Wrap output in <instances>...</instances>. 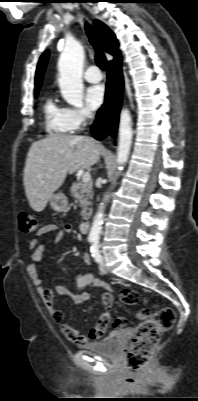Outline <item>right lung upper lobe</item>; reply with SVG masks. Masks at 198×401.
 Listing matches in <instances>:
<instances>
[{"mask_svg": "<svg viewBox=\"0 0 198 401\" xmlns=\"http://www.w3.org/2000/svg\"><path fill=\"white\" fill-rule=\"evenodd\" d=\"M94 27L100 37L102 47L104 48V50L111 55L114 56L117 55L119 53L118 41L114 33L104 23H102L99 20L94 21ZM48 58H49V52L46 51L42 54L38 62L35 75V94L38 93V90L41 87Z\"/></svg>", "mask_w": 198, "mask_h": 401, "instance_id": "1", "label": "right lung upper lobe"}]
</instances>
